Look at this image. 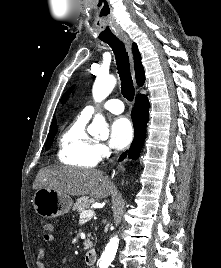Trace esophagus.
Returning <instances> with one entry per match:
<instances>
[{"mask_svg": "<svg viewBox=\"0 0 221 268\" xmlns=\"http://www.w3.org/2000/svg\"><path fill=\"white\" fill-rule=\"evenodd\" d=\"M119 37L125 43V45L127 47V50L130 54L131 65L133 67V57H132V53H131V41L126 34H120ZM120 168H122V164H120Z\"/></svg>", "mask_w": 221, "mask_h": 268, "instance_id": "34e87169", "label": "esophagus"}]
</instances>
